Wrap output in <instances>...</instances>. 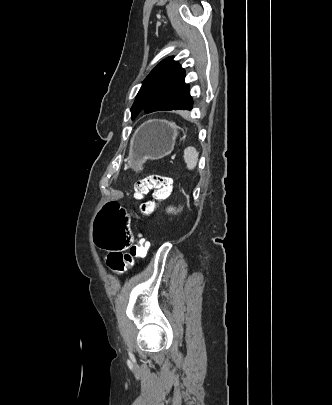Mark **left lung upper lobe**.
<instances>
[{
    "label": "left lung upper lobe",
    "instance_id": "obj_1",
    "mask_svg": "<svg viewBox=\"0 0 332 405\" xmlns=\"http://www.w3.org/2000/svg\"><path fill=\"white\" fill-rule=\"evenodd\" d=\"M184 78V70L173 57L161 61L144 80L131 108L132 119L148 107L152 111L191 110L193 100Z\"/></svg>",
    "mask_w": 332,
    "mask_h": 405
}]
</instances>
